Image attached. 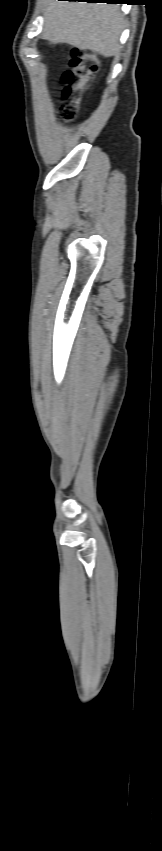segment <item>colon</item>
I'll return each instance as SVG.
<instances>
[{"label": "colon", "mask_w": 162, "mask_h": 851, "mask_svg": "<svg viewBox=\"0 0 162 851\" xmlns=\"http://www.w3.org/2000/svg\"><path fill=\"white\" fill-rule=\"evenodd\" d=\"M98 59L92 53L79 49L71 52L70 66L62 76L63 96L66 99L61 116L66 121L75 118L82 90L98 70Z\"/></svg>", "instance_id": "5ec220e1"}]
</instances>
